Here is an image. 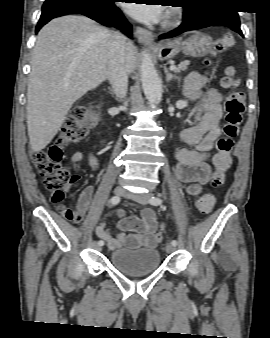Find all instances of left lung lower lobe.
<instances>
[{"mask_svg":"<svg viewBox=\"0 0 270 338\" xmlns=\"http://www.w3.org/2000/svg\"><path fill=\"white\" fill-rule=\"evenodd\" d=\"M218 25L229 27L243 36L237 11L224 7H217L202 13L194 19H185L179 28L169 33L162 34L160 38H172L187 31Z\"/></svg>","mask_w":270,"mask_h":338,"instance_id":"1","label":"left lung lower lobe"}]
</instances>
